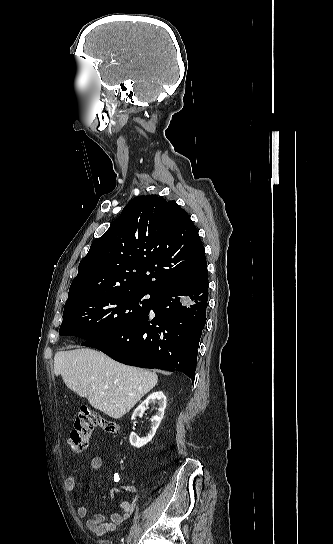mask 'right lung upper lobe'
Returning <instances> with one entry per match:
<instances>
[{
	"instance_id": "obj_1",
	"label": "right lung upper lobe",
	"mask_w": 333,
	"mask_h": 544,
	"mask_svg": "<svg viewBox=\"0 0 333 544\" xmlns=\"http://www.w3.org/2000/svg\"><path fill=\"white\" fill-rule=\"evenodd\" d=\"M207 270L205 251L189 215L157 195L133 198L81 260L66 303L101 292H157Z\"/></svg>"
}]
</instances>
